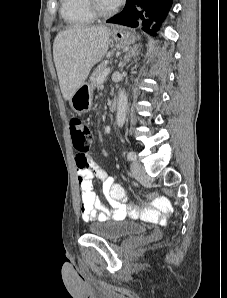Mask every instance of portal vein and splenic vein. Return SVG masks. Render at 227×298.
<instances>
[{
    "mask_svg": "<svg viewBox=\"0 0 227 298\" xmlns=\"http://www.w3.org/2000/svg\"><path fill=\"white\" fill-rule=\"evenodd\" d=\"M110 72H111V69L106 68L104 70V72L98 77V83L102 84L104 82V80L106 79V77L109 75Z\"/></svg>",
    "mask_w": 227,
    "mask_h": 298,
    "instance_id": "portal-vein-and-splenic-vein-1",
    "label": "portal vein and splenic vein"
}]
</instances>
